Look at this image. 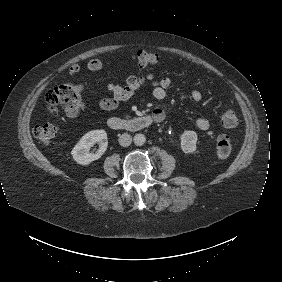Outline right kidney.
<instances>
[{
  "label": "right kidney",
  "mask_w": 282,
  "mask_h": 282,
  "mask_svg": "<svg viewBox=\"0 0 282 282\" xmlns=\"http://www.w3.org/2000/svg\"><path fill=\"white\" fill-rule=\"evenodd\" d=\"M99 144L96 153H90V148L95 144ZM108 140L105 130H92L86 133L80 141L72 149L73 159L81 165H88L92 161L99 159L107 150Z\"/></svg>",
  "instance_id": "ca27d5eb"
}]
</instances>
